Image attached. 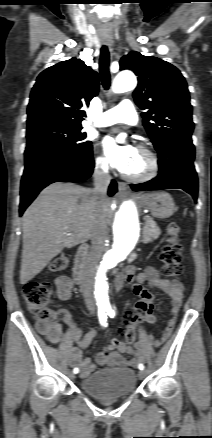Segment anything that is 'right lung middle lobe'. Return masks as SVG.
<instances>
[{
  "instance_id": "dd1d6c3e",
  "label": "right lung middle lobe",
  "mask_w": 212,
  "mask_h": 438,
  "mask_svg": "<svg viewBox=\"0 0 212 438\" xmlns=\"http://www.w3.org/2000/svg\"><path fill=\"white\" fill-rule=\"evenodd\" d=\"M82 127L63 125H43L27 130V146L44 145L62 149H84L91 146L84 141L86 134Z\"/></svg>"
}]
</instances>
